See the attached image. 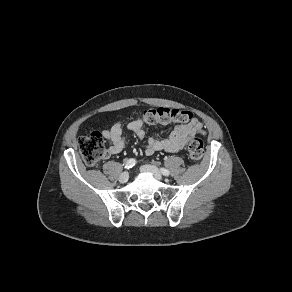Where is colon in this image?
<instances>
[{
  "instance_id": "obj_1",
  "label": "colon",
  "mask_w": 292,
  "mask_h": 292,
  "mask_svg": "<svg viewBox=\"0 0 292 292\" xmlns=\"http://www.w3.org/2000/svg\"><path fill=\"white\" fill-rule=\"evenodd\" d=\"M185 111L178 109L157 108L150 109L143 113V118L150 124L169 123L184 119ZM79 151L86 164L94 165L105 155L103 137L100 132H92L87 136H82L77 140ZM189 158L197 162L204 154V144L201 138L192 139L187 148Z\"/></svg>"
}]
</instances>
